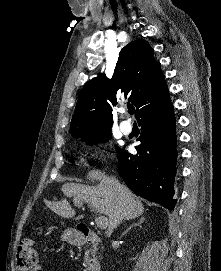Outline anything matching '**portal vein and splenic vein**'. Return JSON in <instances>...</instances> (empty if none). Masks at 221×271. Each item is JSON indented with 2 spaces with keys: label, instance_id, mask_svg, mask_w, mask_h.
Here are the masks:
<instances>
[{
  "label": "portal vein and splenic vein",
  "instance_id": "18ae733b",
  "mask_svg": "<svg viewBox=\"0 0 221 271\" xmlns=\"http://www.w3.org/2000/svg\"><path fill=\"white\" fill-rule=\"evenodd\" d=\"M95 221L100 227V229H106L107 225H109L108 217H105V215H100V217H95Z\"/></svg>",
  "mask_w": 221,
  "mask_h": 271
}]
</instances>
